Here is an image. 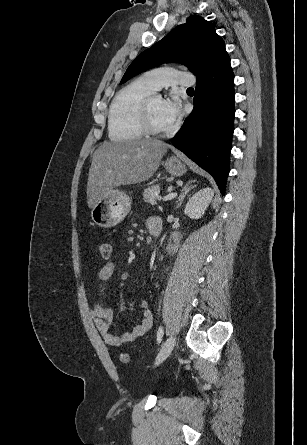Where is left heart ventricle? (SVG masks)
Listing matches in <instances>:
<instances>
[{
  "label": "left heart ventricle",
  "instance_id": "1",
  "mask_svg": "<svg viewBox=\"0 0 307 445\" xmlns=\"http://www.w3.org/2000/svg\"><path fill=\"white\" fill-rule=\"evenodd\" d=\"M151 117L154 125L161 130L170 129L174 125V123L170 122L165 116L161 97L154 99L151 106Z\"/></svg>",
  "mask_w": 307,
  "mask_h": 445
}]
</instances>
